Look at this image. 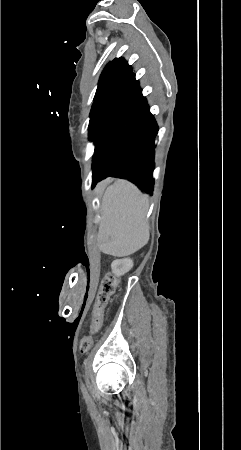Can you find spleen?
<instances>
[{"label":"spleen","mask_w":241,"mask_h":450,"mask_svg":"<svg viewBox=\"0 0 241 450\" xmlns=\"http://www.w3.org/2000/svg\"><path fill=\"white\" fill-rule=\"evenodd\" d=\"M149 202L137 186L116 180L104 192L101 224L97 230L100 250L109 256H130L149 240V224L146 214Z\"/></svg>","instance_id":"obj_1"}]
</instances>
